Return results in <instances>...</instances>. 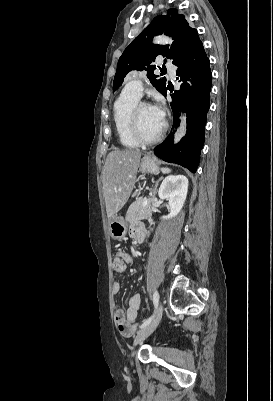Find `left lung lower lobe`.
<instances>
[{"label":"left lung lower lobe","instance_id":"left-lung-lower-lobe-1","mask_svg":"<svg viewBox=\"0 0 273 401\" xmlns=\"http://www.w3.org/2000/svg\"><path fill=\"white\" fill-rule=\"evenodd\" d=\"M173 64L178 67L177 79L183 82L181 90L171 95L174 129L154 151L162 160L179 164L195 173L200 162L206 118L210 107L212 73L209 58L199 40L182 53ZM168 89L167 86L164 96ZM179 110L186 111L188 128L180 143L173 146V133L179 125Z\"/></svg>","mask_w":273,"mask_h":401}]
</instances>
